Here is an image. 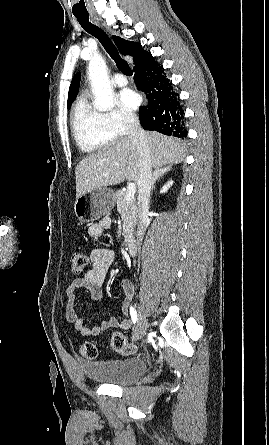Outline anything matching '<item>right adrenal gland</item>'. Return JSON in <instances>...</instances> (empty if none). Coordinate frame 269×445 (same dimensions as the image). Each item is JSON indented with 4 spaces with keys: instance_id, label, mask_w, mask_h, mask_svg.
<instances>
[{
    "instance_id": "2a0ac1e0",
    "label": "right adrenal gland",
    "mask_w": 269,
    "mask_h": 445,
    "mask_svg": "<svg viewBox=\"0 0 269 445\" xmlns=\"http://www.w3.org/2000/svg\"><path fill=\"white\" fill-rule=\"evenodd\" d=\"M171 166H166L160 169H155L152 174V185L151 190L154 189V185L157 180L161 179L165 174H167L169 171H171Z\"/></svg>"
}]
</instances>
